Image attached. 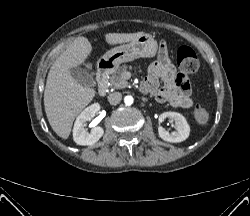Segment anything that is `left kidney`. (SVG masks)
<instances>
[{
	"instance_id": "5707ae66",
	"label": "left kidney",
	"mask_w": 250,
	"mask_h": 216,
	"mask_svg": "<svg viewBox=\"0 0 250 216\" xmlns=\"http://www.w3.org/2000/svg\"><path fill=\"white\" fill-rule=\"evenodd\" d=\"M170 118L175 122L176 131L169 133L163 127L158 128L159 137L164 141L179 143L186 140L190 134V126L185 117L177 112H164L160 115L159 121Z\"/></svg>"
}]
</instances>
